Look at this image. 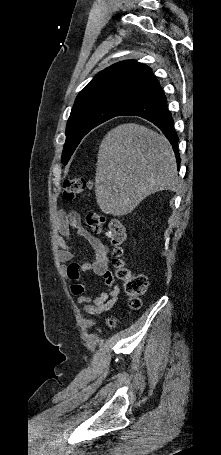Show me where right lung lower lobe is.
Masks as SVG:
<instances>
[{"mask_svg": "<svg viewBox=\"0 0 221 455\" xmlns=\"http://www.w3.org/2000/svg\"><path fill=\"white\" fill-rule=\"evenodd\" d=\"M123 115L140 116L159 127L171 143L179 165L180 156L177 146L179 138L173 127V119L167 109L166 97L159 86V82L149 95L126 108L119 116Z\"/></svg>", "mask_w": 221, "mask_h": 455, "instance_id": "98d812e1", "label": "right lung lower lobe"}]
</instances>
